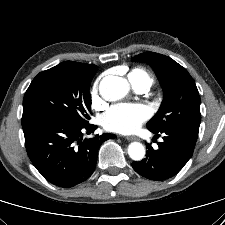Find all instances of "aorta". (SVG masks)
<instances>
[{
    "instance_id": "1",
    "label": "aorta",
    "mask_w": 225,
    "mask_h": 225,
    "mask_svg": "<svg viewBox=\"0 0 225 225\" xmlns=\"http://www.w3.org/2000/svg\"><path fill=\"white\" fill-rule=\"evenodd\" d=\"M129 89V83L125 78L113 75L104 77L99 85L100 95L107 101L122 99L127 95ZM145 153V147L140 142H132L128 146V154L134 161H141Z\"/></svg>"
}]
</instances>
